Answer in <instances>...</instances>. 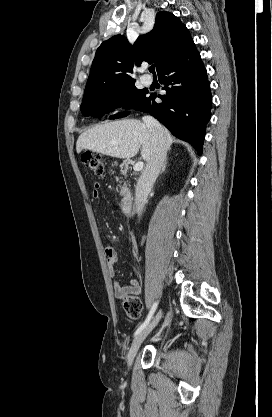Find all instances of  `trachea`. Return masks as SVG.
I'll return each instance as SVG.
<instances>
[{
	"label": "trachea",
	"mask_w": 272,
	"mask_h": 417,
	"mask_svg": "<svg viewBox=\"0 0 272 417\" xmlns=\"http://www.w3.org/2000/svg\"><path fill=\"white\" fill-rule=\"evenodd\" d=\"M149 71H150L153 75H155V65L150 66V67H149Z\"/></svg>",
	"instance_id": "1"
}]
</instances>
